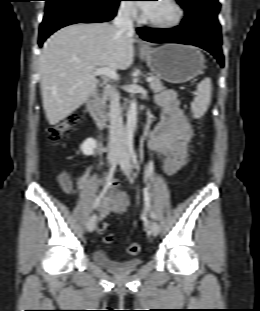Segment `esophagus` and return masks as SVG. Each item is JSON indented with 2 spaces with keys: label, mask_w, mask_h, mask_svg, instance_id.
Here are the masks:
<instances>
[{
  "label": "esophagus",
  "mask_w": 260,
  "mask_h": 311,
  "mask_svg": "<svg viewBox=\"0 0 260 311\" xmlns=\"http://www.w3.org/2000/svg\"><path fill=\"white\" fill-rule=\"evenodd\" d=\"M140 45H141L142 47H147V45H146L144 42H140Z\"/></svg>",
  "instance_id": "34e87169"
}]
</instances>
